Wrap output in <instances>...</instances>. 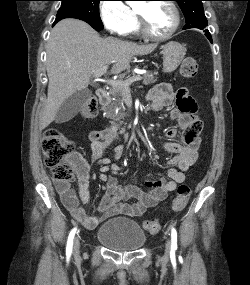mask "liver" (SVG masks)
Returning <instances> with one entry per match:
<instances>
[{"mask_svg": "<svg viewBox=\"0 0 250 285\" xmlns=\"http://www.w3.org/2000/svg\"><path fill=\"white\" fill-rule=\"evenodd\" d=\"M156 48L155 44L138 45L113 37L101 38L81 20L69 18L58 22L47 43L49 83L41 128L53 122L65 100L86 89L91 77L103 66L113 63L111 74H119L129 67L132 57L147 55Z\"/></svg>", "mask_w": 250, "mask_h": 285, "instance_id": "liver-1", "label": "liver"}]
</instances>
